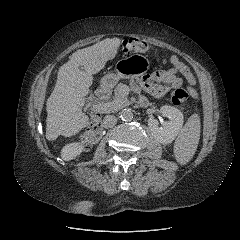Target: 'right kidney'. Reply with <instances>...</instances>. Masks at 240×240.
I'll return each mask as SVG.
<instances>
[{
	"label": "right kidney",
	"instance_id": "1",
	"mask_svg": "<svg viewBox=\"0 0 240 240\" xmlns=\"http://www.w3.org/2000/svg\"><path fill=\"white\" fill-rule=\"evenodd\" d=\"M83 151V146L79 142L65 145L61 150V157L65 161L75 159Z\"/></svg>",
	"mask_w": 240,
	"mask_h": 240
}]
</instances>
